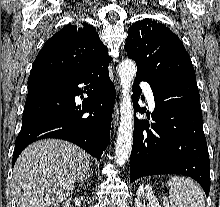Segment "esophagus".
Segmentation results:
<instances>
[{
    "label": "esophagus",
    "mask_w": 220,
    "mask_h": 207,
    "mask_svg": "<svg viewBox=\"0 0 220 207\" xmlns=\"http://www.w3.org/2000/svg\"><path fill=\"white\" fill-rule=\"evenodd\" d=\"M118 120H119V109H118V104H116L115 107H114V113H113L114 128L117 127Z\"/></svg>",
    "instance_id": "1"
}]
</instances>
